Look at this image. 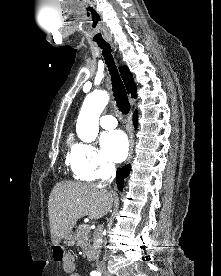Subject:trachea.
I'll list each match as a JSON object with an SVG mask.
<instances>
[{
	"instance_id": "1",
	"label": "trachea",
	"mask_w": 221,
	"mask_h": 276,
	"mask_svg": "<svg viewBox=\"0 0 221 276\" xmlns=\"http://www.w3.org/2000/svg\"><path fill=\"white\" fill-rule=\"evenodd\" d=\"M98 46L103 50L102 55L104 56L111 75L112 90L117 107L122 114H128L130 111V103L128 101L126 89L115 65L114 58L112 57L110 45L107 42H98Z\"/></svg>"
}]
</instances>
